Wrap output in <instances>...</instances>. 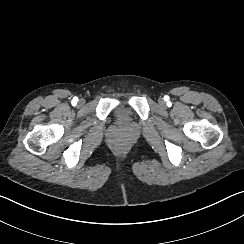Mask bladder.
Masks as SVG:
<instances>
[{"label":"bladder","mask_w":244,"mask_h":244,"mask_svg":"<svg viewBox=\"0 0 244 244\" xmlns=\"http://www.w3.org/2000/svg\"><path fill=\"white\" fill-rule=\"evenodd\" d=\"M128 108H126V107H121L118 111H117V115H123V114H125L126 112H128Z\"/></svg>","instance_id":"1"}]
</instances>
